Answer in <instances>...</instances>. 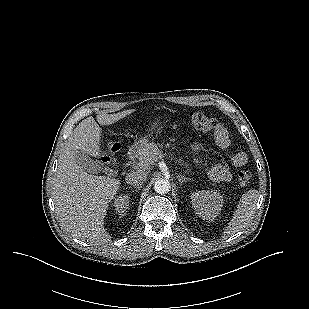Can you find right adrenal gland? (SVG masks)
Instances as JSON below:
<instances>
[{
    "label": "right adrenal gland",
    "mask_w": 309,
    "mask_h": 309,
    "mask_svg": "<svg viewBox=\"0 0 309 309\" xmlns=\"http://www.w3.org/2000/svg\"><path fill=\"white\" fill-rule=\"evenodd\" d=\"M133 187L136 189V191H138V190H140L141 185H139V186H133ZM129 188H131V186H130Z\"/></svg>",
    "instance_id": "right-adrenal-gland-1"
}]
</instances>
